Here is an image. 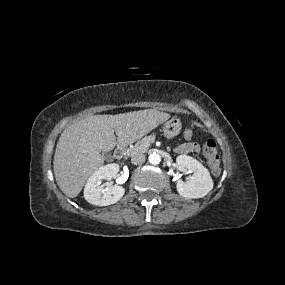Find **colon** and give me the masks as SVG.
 <instances>
[{
	"instance_id": "obj_1",
	"label": "colon",
	"mask_w": 285,
	"mask_h": 285,
	"mask_svg": "<svg viewBox=\"0 0 285 285\" xmlns=\"http://www.w3.org/2000/svg\"><path fill=\"white\" fill-rule=\"evenodd\" d=\"M182 138L185 141H190L193 138V129L188 127L183 131ZM203 152L208 160L211 172L214 175H219L221 171L220 158L217 153L216 143L213 139H207L203 143Z\"/></svg>"
}]
</instances>
